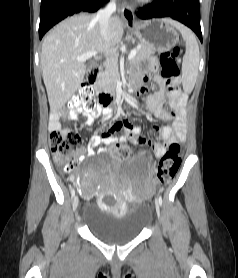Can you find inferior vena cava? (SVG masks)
Masks as SVG:
<instances>
[{
	"label": "inferior vena cava",
	"mask_w": 238,
	"mask_h": 278,
	"mask_svg": "<svg viewBox=\"0 0 238 278\" xmlns=\"http://www.w3.org/2000/svg\"><path fill=\"white\" fill-rule=\"evenodd\" d=\"M115 11H116V0H111L104 9L99 10L97 12L95 17L99 23L100 33L102 37L106 36L109 19L112 13H114Z\"/></svg>",
	"instance_id": "inferior-vena-cava-1"
}]
</instances>
